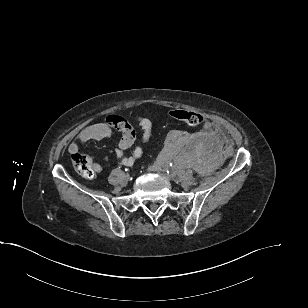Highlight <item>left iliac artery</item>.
Segmentation results:
<instances>
[{
    "mask_svg": "<svg viewBox=\"0 0 308 308\" xmlns=\"http://www.w3.org/2000/svg\"><path fill=\"white\" fill-rule=\"evenodd\" d=\"M169 166H170L171 168H174V165H173L172 163H170ZM169 166H168L167 169H166V172H167L168 174L170 173V172H169Z\"/></svg>",
    "mask_w": 308,
    "mask_h": 308,
    "instance_id": "obj_1",
    "label": "left iliac artery"
}]
</instances>
